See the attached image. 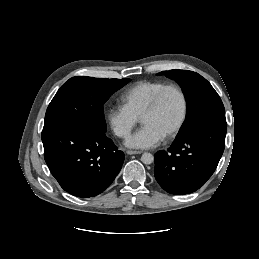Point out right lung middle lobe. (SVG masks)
Wrapping results in <instances>:
<instances>
[{
  "mask_svg": "<svg viewBox=\"0 0 259 259\" xmlns=\"http://www.w3.org/2000/svg\"><path fill=\"white\" fill-rule=\"evenodd\" d=\"M130 79H102L87 76L70 78L50 102L44 128L79 122L106 132L103 105Z\"/></svg>",
  "mask_w": 259,
  "mask_h": 259,
  "instance_id": "1",
  "label": "right lung middle lobe"
}]
</instances>
